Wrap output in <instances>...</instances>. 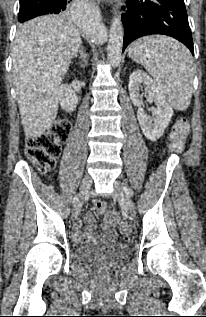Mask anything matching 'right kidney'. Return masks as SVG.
<instances>
[{"label":"right kidney","instance_id":"ca27d5eb","mask_svg":"<svg viewBox=\"0 0 206 317\" xmlns=\"http://www.w3.org/2000/svg\"><path fill=\"white\" fill-rule=\"evenodd\" d=\"M58 98L60 106L67 112H73L78 104V97L68 85H62L59 88Z\"/></svg>","mask_w":206,"mask_h":317}]
</instances>
